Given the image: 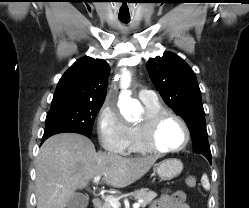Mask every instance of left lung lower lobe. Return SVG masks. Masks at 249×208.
Listing matches in <instances>:
<instances>
[{
	"label": "left lung lower lobe",
	"mask_w": 249,
	"mask_h": 208,
	"mask_svg": "<svg viewBox=\"0 0 249 208\" xmlns=\"http://www.w3.org/2000/svg\"><path fill=\"white\" fill-rule=\"evenodd\" d=\"M204 156L209 160V162L211 163V155H206L204 154Z\"/></svg>",
	"instance_id": "0a47b994"
}]
</instances>
